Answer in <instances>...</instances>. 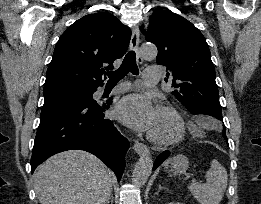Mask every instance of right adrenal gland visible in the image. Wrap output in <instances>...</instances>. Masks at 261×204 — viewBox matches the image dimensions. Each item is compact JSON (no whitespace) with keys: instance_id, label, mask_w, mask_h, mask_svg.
I'll return each instance as SVG.
<instances>
[{"instance_id":"1","label":"right adrenal gland","mask_w":261,"mask_h":204,"mask_svg":"<svg viewBox=\"0 0 261 204\" xmlns=\"http://www.w3.org/2000/svg\"><path fill=\"white\" fill-rule=\"evenodd\" d=\"M109 201H111V204L113 203V196L112 195L110 196Z\"/></svg>"}]
</instances>
